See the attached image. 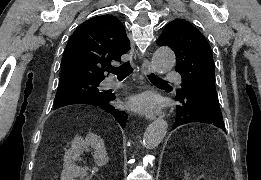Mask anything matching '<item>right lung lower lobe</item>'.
<instances>
[{
    "label": "right lung lower lobe",
    "mask_w": 261,
    "mask_h": 180,
    "mask_svg": "<svg viewBox=\"0 0 261 180\" xmlns=\"http://www.w3.org/2000/svg\"><path fill=\"white\" fill-rule=\"evenodd\" d=\"M115 100V95L111 94V92L105 91L101 95L97 97H86V96H76L72 97L70 99H67L63 101L58 106H55L54 108L57 109L59 107H63L68 104L73 103H82V104H92L99 106L100 108L106 110L109 112L113 117L118 121V123L121 125L122 128L125 127L126 121L128 118L127 113L119 111L118 109H115L113 105H111V101Z\"/></svg>",
    "instance_id": "98d812e1"
}]
</instances>
